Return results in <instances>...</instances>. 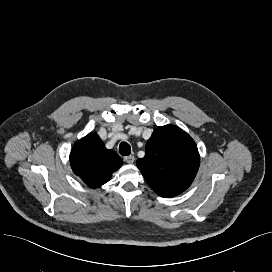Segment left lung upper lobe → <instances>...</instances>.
<instances>
[{"label": "left lung upper lobe", "instance_id": "5c2ea615", "mask_svg": "<svg viewBox=\"0 0 272 272\" xmlns=\"http://www.w3.org/2000/svg\"><path fill=\"white\" fill-rule=\"evenodd\" d=\"M200 156L194 140L179 127H157L146 144L137 167L150 187L161 197L184 192L194 180Z\"/></svg>", "mask_w": 272, "mask_h": 272}]
</instances>
